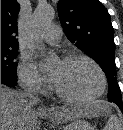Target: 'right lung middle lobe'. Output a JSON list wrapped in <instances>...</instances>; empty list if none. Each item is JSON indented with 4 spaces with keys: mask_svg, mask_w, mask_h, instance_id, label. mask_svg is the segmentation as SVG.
I'll return each instance as SVG.
<instances>
[{
    "mask_svg": "<svg viewBox=\"0 0 123 130\" xmlns=\"http://www.w3.org/2000/svg\"><path fill=\"white\" fill-rule=\"evenodd\" d=\"M18 48L1 47V76L16 80Z\"/></svg>",
    "mask_w": 123,
    "mask_h": 130,
    "instance_id": "dd1d6c3e",
    "label": "right lung middle lobe"
}]
</instances>
